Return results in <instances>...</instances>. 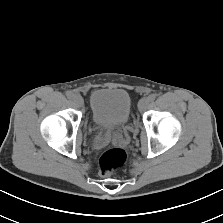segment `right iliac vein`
<instances>
[{
    "label": "right iliac vein",
    "instance_id": "right-iliac-vein-1",
    "mask_svg": "<svg viewBox=\"0 0 223 223\" xmlns=\"http://www.w3.org/2000/svg\"><path fill=\"white\" fill-rule=\"evenodd\" d=\"M73 102L75 105L81 107L84 103L83 98L80 95H75L73 97Z\"/></svg>",
    "mask_w": 223,
    "mask_h": 223
}]
</instances>
